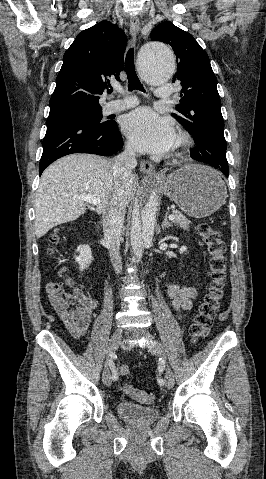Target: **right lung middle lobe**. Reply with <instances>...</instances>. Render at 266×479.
<instances>
[{
	"instance_id": "1",
	"label": "right lung middle lobe",
	"mask_w": 266,
	"mask_h": 479,
	"mask_svg": "<svg viewBox=\"0 0 266 479\" xmlns=\"http://www.w3.org/2000/svg\"><path fill=\"white\" fill-rule=\"evenodd\" d=\"M53 114H60V115H70V116H75L79 118H83L86 120H89L91 122H94L96 124H101L104 122H101L102 119V108L97 107V108H75V109H69ZM51 115V114H49Z\"/></svg>"
}]
</instances>
